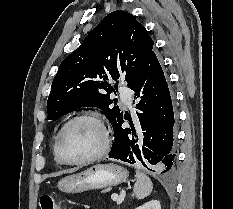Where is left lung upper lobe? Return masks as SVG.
Here are the masks:
<instances>
[{
    "label": "left lung upper lobe",
    "mask_w": 233,
    "mask_h": 209,
    "mask_svg": "<svg viewBox=\"0 0 233 209\" xmlns=\"http://www.w3.org/2000/svg\"><path fill=\"white\" fill-rule=\"evenodd\" d=\"M153 44L133 15L120 10L109 13L62 61L47 101L48 120H57L79 107H97L115 123L123 112L112 106L116 103L109 95L114 88L106 80L124 78L129 85L154 53Z\"/></svg>",
    "instance_id": "5c2ea615"
}]
</instances>
